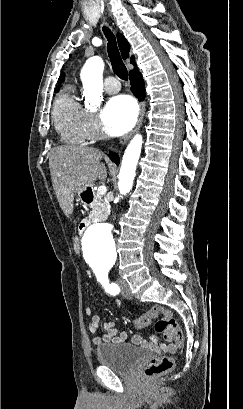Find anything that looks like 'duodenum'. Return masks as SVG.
<instances>
[{
  "mask_svg": "<svg viewBox=\"0 0 243 409\" xmlns=\"http://www.w3.org/2000/svg\"><path fill=\"white\" fill-rule=\"evenodd\" d=\"M93 200H94L93 191L91 189L86 190L85 193L83 194V201L86 204H91ZM88 225L89 221H83L80 225V231H84Z\"/></svg>",
  "mask_w": 243,
  "mask_h": 409,
  "instance_id": "duodenum-1",
  "label": "duodenum"
}]
</instances>
